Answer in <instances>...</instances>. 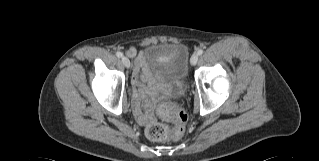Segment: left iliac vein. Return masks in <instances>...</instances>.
Wrapping results in <instances>:
<instances>
[{
	"mask_svg": "<svg viewBox=\"0 0 319 161\" xmlns=\"http://www.w3.org/2000/svg\"><path fill=\"white\" fill-rule=\"evenodd\" d=\"M197 61H198V55L197 54H193L192 57H191V60H190L191 64L195 65L197 63Z\"/></svg>",
	"mask_w": 319,
	"mask_h": 161,
	"instance_id": "left-iliac-vein-1",
	"label": "left iliac vein"
}]
</instances>
